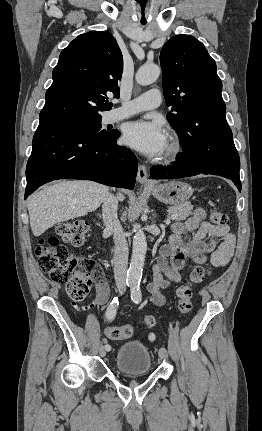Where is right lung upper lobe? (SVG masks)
<instances>
[{
  "label": "right lung upper lobe",
  "mask_w": 262,
  "mask_h": 431,
  "mask_svg": "<svg viewBox=\"0 0 262 431\" xmlns=\"http://www.w3.org/2000/svg\"><path fill=\"white\" fill-rule=\"evenodd\" d=\"M122 72L123 56L112 34L91 31L79 35L60 53L40 124L101 116L99 112L112 108L107 95L119 97Z\"/></svg>",
  "instance_id": "cb5924a9"
}]
</instances>
